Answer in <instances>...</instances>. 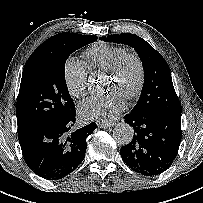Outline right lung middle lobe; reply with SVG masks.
Masks as SVG:
<instances>
[{
    "label": "right lung middle lobe",
    "mask_w": 203,
    "mask_h": 203,
    "mask_svg": "<svg viewBox=\"0 0 203 203\" xmlns=\"http://www.w3.org/2000/svg\"><path fill=\"white\" fill-rule=\"evenodd\" d=\"M96 40L93 35L71 34L31 54L23 69L16 105L18 133L75 109L65 82V63L75 50Z\"/></svg>",
    "instance_id": "dd1d6c3e"
}]
</instances>
